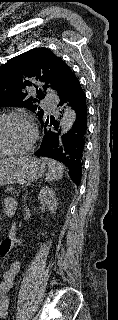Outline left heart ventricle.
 <instances>
[{
    "mask_svg": "<svg viewBox=\"0 0 118 320\" xmlns=\"http://www.w3.org/2000/svg\"><path fill=\"white\" fill-rule=\"evenodd\" d=\"M32 137L29 126L19 120H8L0 123V145L15 150L28 145Z\"/></svg>",
    "mask_w": 118,
    "mask_h": 320,
    "instance_id": "b2bd125f",
    "label": "left heart ventricle"
}]
</instances>
